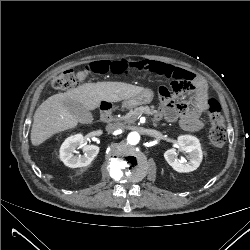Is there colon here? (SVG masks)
Listing matches in <instances>:
<instances>
[{"instance_id":"1","label":"colon","mask_w":250,"mask_h":250,"mask_svg":"<svg viewBox=\"0 0 250 250\" xmlns=\"http://www.w3.org/2000/svg\"><path fill=\"white\" fill-rule=\"evenodd\" d=\"M130 72V64L124 60L95 61L85 67L86 75L100 76L105 74L127 75ZM172 92H179L183 88L184 81L180 77L173 78ZM77 76L73 69H66L53 79L52 85L59 90H68L76 85ZM189 97L195 96L192 91H186ZM221 108L215 99L207 101V116L210 127L208 137L211 144L220 148L226 142V130L221 116Z\"/></svg>"}]
</instances>
